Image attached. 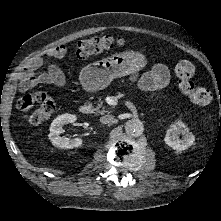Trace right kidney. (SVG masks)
Here are the masks:
<instances>
[{
    "instance_id": "right-kidney-1",
    "label": "right kidney",
    "mask_w": 221,
    "mask_h": 221,
    "mask_svg": "<svg viewBox=\"0 0 221 221\" xmlns=\"http://www.w3.org/2000/svg\"><path fill=\"white\" fill-rule=\"evenodd\" d=\"M76 119L77 117L73 114H63L53 120L49 129L50 133L48 137L54 146L62 149H73L83 143L81 138L70 139L60 136V134L64 131L62 128L63 125L73 123Z\"/></svg>"
}]
</instances>
